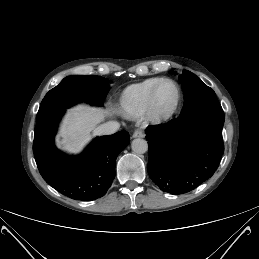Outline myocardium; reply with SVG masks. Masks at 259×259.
Segmentation results:
<instances>
[{
	"label": "myocardium",
	"instance_id": "obj_1",
	"mask_svg": "<svg viewBox=\"0 0 259 259\" xmlns=\"http://www.w3.org/2000/svg\"><path fill=\"white\" fill-rule=\"evenodd\" d=\"M164 83H170L174 86L175 90H176V100L174 105L172 106L171 109L167 110V111H161L158 109L157 104H156V96H157V92L160 88V86ZM181 89L179 87V85L172 79L170 78H163L161 79L152 89L150 96H149V100H148V105H147V109L145 111L146 113V117L148 118V120H150L153 123H163L166 122L168 120H170L178 111L180 103H181Z\"/></svg>",
	"mask_w": 259,
	"mask_h": 259
}]
</instances>
